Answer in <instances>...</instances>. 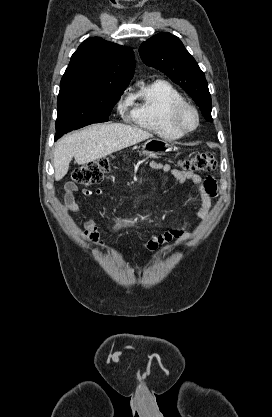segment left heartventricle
I'll return each instance as SVG.
<instances>
[{"label":"left heart ventricle","instance_id":"b2bd125f","mask_svg":"<svg viewBox=\"0 0 272 417\" xmlns=\"http://www.w3.org/2000/svg\"><path fill=\"white\" fill-rule=\"evenodd\" d=\"M183 124L187 127H191L194 124V116L191 112H186L183 116Z\"/></svg>","mask_w":272,"mask_h":417}]
</instances>
